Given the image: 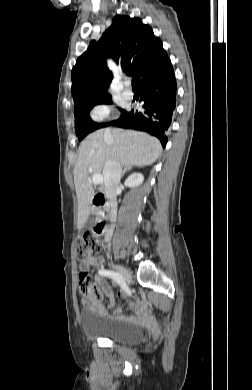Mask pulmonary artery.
I'll use <instances>...</instances> for the list:
<instances>
[{
	"mask_svg": "<svg viewBox=\"0 0 252 390\" xmlns=\"http://www.w3.org/2000/svg\"><path fill=\"white\" fill-rule=\"evenodd\" d=\"M123 96L126 97L127 99H131L133 98L134 96V93L130 87V82L129 81H126L125 82V88H124V91H123Z\"/></svg>",
	"mask_w": 252,
	"mask_h": 390,
	"instance_id": "pulmonary-artery-1",
	"label": "pulmonary artery"
}]
</instances>
